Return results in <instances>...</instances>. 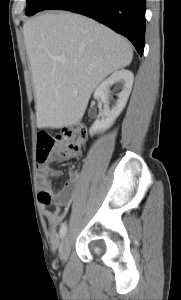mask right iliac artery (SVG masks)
<instances>
[{"label":"right iliac artery","instance_id":"1","mask_svg":"<svg viewBox=\"0 0 181 300\" xmlns=\"http://www.w3.org/2000/svg\"><path fill=\"white\" fill-rule=\"evenodd\" d=\"M66 232H67V226L66 224H63L59 231L60 236L63 238L66 235Z\"/></svg>","mask_w":181,"mask_h":300}]
</instances>
